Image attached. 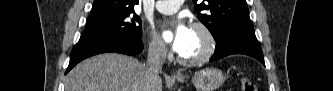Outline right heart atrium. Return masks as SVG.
Wrapping results in <instances>:
<instances>
[{
    "mask_svg": "<svg viewBox=\"0 0 333 91\" xmlns=\"http://www.w3.org/2000/svg\"><path fill=\"white\" fill-rule=\"evenodd\" d=\"M147 49L149 56L155 60H164L168 55L167 49L164 44L152 35L148 38Z\"/></svg>",
    "mask_w": 333,
    "mask_h": 91,
    "instance_id": "right-heart-atrium-1",
    "label": "right heart atrium"
}]
</instances>
